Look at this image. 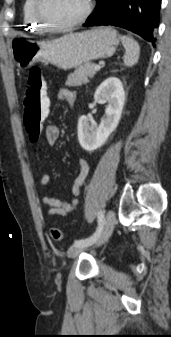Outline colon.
Returning a JSON list of instances; mask_svg holds the SVG:
<instances>
[{
  "label": "colon",
  "mask_w": 171,
  "mask_h": 337,
  "mask_svg": "<svg viewBox=\"0 0 171 337\" xmlns=\"http://www.w3.org/2000/svg\"><path fill=\"white\" fill-rule=\"evenodd\" d=\"M50 94H45V80L39 67H33L27 77V87L24 98V127L32 141L41 132V125L45 116H50ZM49 233L52 239L60 241L63 233L58 227H51Z\"/></svg>",
  "instance_id": "obj_1"
}]
</instances>
